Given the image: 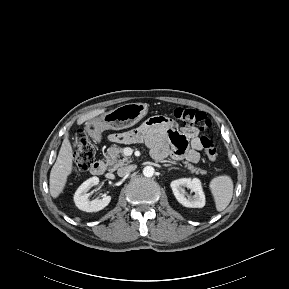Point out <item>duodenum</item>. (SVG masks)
<instances>
[{"label":"duodenum","instance_id":"obj_1","mask_svg":"<svg viewBox=\"0 0 289 289\" xmlns=\"http://www.w3.org/2000/svg\"><path fill=\"white\" fill-rule=\"evenodd\" d=\"M106 169H107V166L105 162L95 161L90 168V172L93 175H102L105 173Z\"/></svg>","mask_w":289,"mask_h":289}]
</instances>
